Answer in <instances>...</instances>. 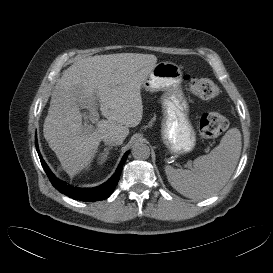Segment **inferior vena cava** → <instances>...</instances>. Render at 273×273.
Instances as JSON below:
<instances>
[{
	"instance_id": "obj_1",
	"label": "inferior vena cava",
	"mask_w": 273,
	"mask_h": 273,
	"mask_svg": "<svg viewBox=\"0 0 273 273\" xmlns=\"http://www.w3.org/2000/svg\"><path fill=\"white\" fill-rule=\"evenodd\" d=\"M103 141H104L105 145L114 146V145L122 144V141L119 138L115 137V136L106 137V138H104Z\"/></svg>"
}]
</instances>
